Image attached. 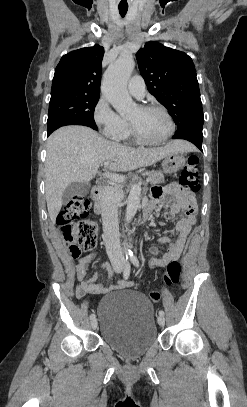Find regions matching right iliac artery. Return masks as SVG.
<instances>
[{"mask_svg":"<svg viewBox=\"0 0 247 407\" xmlns=\"http://www.w3.org/2000/svg\"><path fill=\"white\" fill-rule=\"evenodd\" d=\"M126 261H127V259H126ZM130 269H131L130 263L127 261L125 264V267H124V271H123L124 280L128 279V277L130 275ZM90 319L91 320L95 319V314H91Z\"/></svg>","mask_w":247,"mask_h":407,"instance_id":"right-iliac-artery-1","label":"right iliac artery"}]
</instances>
